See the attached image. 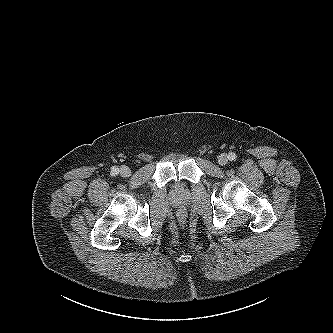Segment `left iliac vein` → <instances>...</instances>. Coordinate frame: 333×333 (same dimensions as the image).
I'll return each instance as SVG.
<instances>
[{"label": "left iliac vein", "mask_w": 333, "mask_h": 333, "mask_svg": "<svg viewBox=\"0 0 333 333\" xmlns=\"http://www.w3.org/2000/svg\"><path fill=\"white\" fill-rule=\"evenodd\" d=\"M218 163L220 165H226L228 163V156L227 154L223 153L218 157Z\"/></svg>", "instance_id": "left-iliac-vein-1"}]
</instances>
